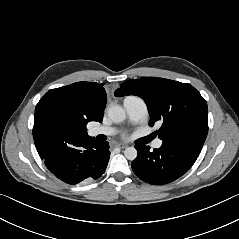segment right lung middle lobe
Returning <instances> with one entry per match:
<instances>
[{
    "label": "right lung middle lobe",
    "mask_w": 239,
    "mask_h": 239,
    "mask_svg": "<svg viewBox=\"0 0 239 239\" xmlns=\"http://www.w3.org/2000/svg\"><path fill=\"white\" fill-rule=\"evenodd\" d=\"M42 135L51 143L73 136L72 124L68 119L53 120L42 129Z\"/></svg>",
    "instance_id": "right-lung-middle-lobe-1"
}]
</instances>
